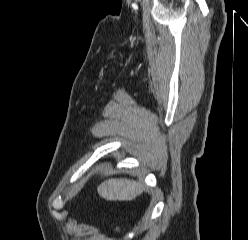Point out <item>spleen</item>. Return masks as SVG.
Segmentation results:
<instances>
[{"mask_svg": "<svg viewBox=\"0 0 248 240\" xmlns=\"http://www.w3.org/2000/svg\"><path fill=\"white\" fill-rule=\"evenodd\" d=\"M98 192L106 200L128 201L142 193V186L129 179H109L101 184Z\"/></svg>", "mask_w": 248, "mask_h": 240, "instance_id": "spleen-1", "label": "spleen"}]
</instances>
